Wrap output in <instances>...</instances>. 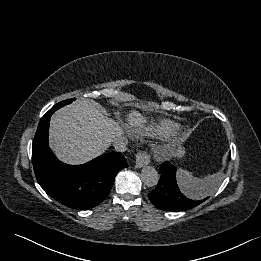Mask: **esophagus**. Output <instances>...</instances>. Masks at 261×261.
Masks as SVG:
<instances>
[{
	"label": "esophagus",
	"instance_id": "1",
	"mask_svg": "<svg viewBox=\"0 0 261 261\" xmlns=\"http://www.w3.org/2000/svg\"><path fill=\"white\" fill-rule=\"evenodd\" d=\"M151 156L146 151H140L136 155L135 166L136 168H142L150 163Z\"/></svg>",
	"mask_w": 261,
	"mask_h": 261
}]
</instances>
